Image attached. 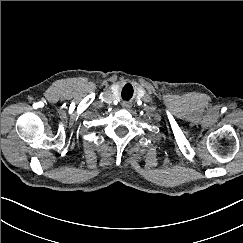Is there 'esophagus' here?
<instances>
[{"label":"esophagus","instance_id":"1","mask_svg":"<svg viewBox=\"0 0 243 243\" xmlns=\"http://www.w3.org/2000/svg\"><path fill=\"white\" fill-rule=\"evenodd\" d=\"M122 106H123L124 108H130V104L127 103V102H124V103L122 104Z\"/></svg>","mask_w":243,"mask_h":243}]
</instances>
